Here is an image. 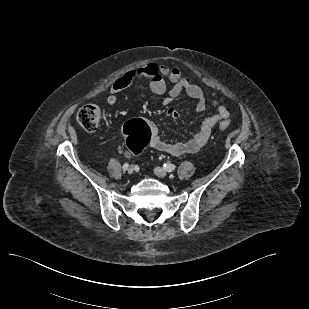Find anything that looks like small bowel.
I'll list each match as a JSON object with an SVG mask.
<instances>
[{"instance_id": "small-bowel-1", "label": "small bowel", "mask_w": 309, "mask_h": 309, "mask_svg": "<svg viewBox=\"0 0 309 309\" xmlns=\"http://www.w3.org/2000/svg\"><path fill=\"white\" fill-rule=\"evenodd\" d=\"M138 81L146 82L150 91L156 95L166 94V103L171 102L173 99L185 93L190 98L196 100L197 111L201 112L207 106V99L203 90L190 77L182 74L176 67L156 63H150L146 66L133 69L116 79L109 90L107 97L108 105L112 106L116 104L118 97L134 82ZM167 81L172 83L170 88L167 86ZM212 96L213 98L210 103L216 108L217 112L207 117L203 121L200 130L185 141L167 142L161 138L156 123L153 121L146 122L151 132L150 146L153 149L173 156L196 153L202 149L209 140L213 128L221 121L227 120L230 117V111L223 101L216 94ZM168 116L176 120L179 114L174 109H170Z\"/></svg>"}]
</instances>
